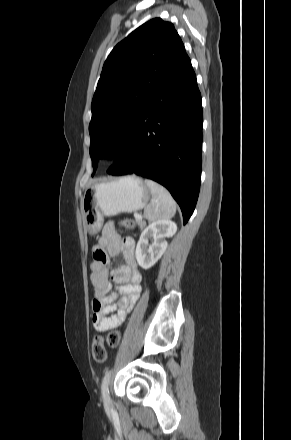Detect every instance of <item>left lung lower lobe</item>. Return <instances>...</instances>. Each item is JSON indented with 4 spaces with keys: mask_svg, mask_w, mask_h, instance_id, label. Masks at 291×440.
<instances>
[{
    "mask_svg": "<svg viewBox=\"0 0 291 440\" xmlns=\"http://www.w3.org/2000/svg\"><path fill=\"white\" fill-rule=\"evenodd\" d=\"M202 124L201 94L186 54L152 97L107 172L135 173L162 184L179 204L186 224L200 190Z\"/></svg>",
    "mask_w": 291,
    "mask_h": 440,
    "instance_id": "1",
    "label": "left lung lower lobe"
}]
</instances>
